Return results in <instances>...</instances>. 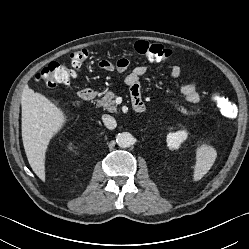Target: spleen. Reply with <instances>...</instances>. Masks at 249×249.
<instances>
[{
	"instance_id": "spleen-1",
	"label": "spleen",
	"mask_w": 249,
	"mask_h": 249,
	"mask_svg": "<svg viewBox=\"0 0 249 249\" xmlns=\"http://www.w3.org/2000/svg\"><path fill=\"white\" fill-rule=\"evenodd\" d=\"M217 157L213 146L201 144L196 149V163L194 166L193 180L199 181L211 169Z\"/></svg>"
}]
</instances>
